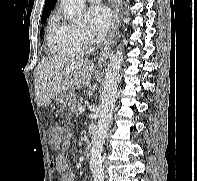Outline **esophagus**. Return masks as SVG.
Segmentation results:
<instances>
[{
    "label": "esophagus",
    "mask_w": 197,
    "mask_h": 181,
    "mask_svg": "<svg viewBox=\"0 0 197 181\" xmlns=\"http://www.w3.org/2000/svg\"><path fill=\"white\" fill-rule=\"evenodd\" d=\"M113 1V24L110 34L105 41V45L100 52V58L98 61V65L102 66L103 63L109 57L110 52L112 51L113 45L115 43V38L118 33L119 26V13L121 8V0H112Z\"/></svg>",
    "instance_id": "1"
}]
</instances>
